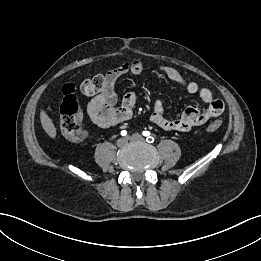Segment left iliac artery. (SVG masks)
<instances>
[{
  "mask_svg": "<svg viewBox=\"0 0 261 261\" xmlns=\"http://www.w3.org/2000/svg\"><path fill=\"white\" fill-rule=\"evenodd\" d=\"M142 134L147 137L146 141L148 143H153L154 142V138L152 136H150V132L149 131H143Z\"/></svg>",
  "mask_w": 261,
  "mask_h": 261,
  "instance_id": "1",
  "label": "left iliac artery"
}]
</instances>
